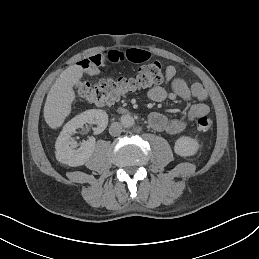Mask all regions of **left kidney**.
<instances>
[{"instance_id":"left-kidney-1","label":"left kidney","mask_w":259,"mask_h":259,"mask_svg":"<svg viewBox=\"0 0 259 259\" xmlns=\"http://www.w3.org/2000/svg\"><path fill=\"white\" fill-rule=\"evenodd\" d=\"M200 148V143L197 139L190 136H180L174 144V153L180 157L196 156Z\"/></svg>"}]
</instances>
